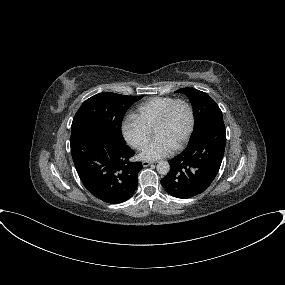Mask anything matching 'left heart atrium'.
I'll use <instances>...</instances> for the list:
<instances>
[{
    "label": "left heart atrium",
    "mask_w": 285,
    "mask_h": 285,
    "mask_svg": "<svg viewBox=\"0 0 285 285\" xmlns=\"http://www.w3.org/2000/svg\"><path fill=\"white\" fill-rule=\"evenodd\" d=\"M173 149L174 146L170 142L157 136L144 148L140 157L144 160L153 161L167 156Z\"/></svg>",
    "instance_id": "1"
}]
</instances>
